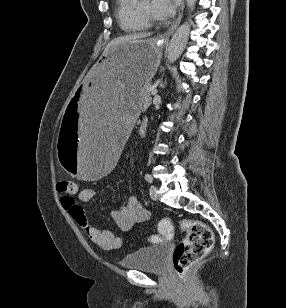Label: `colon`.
I'll use <instances>...</instances> for the list:
<instances>
[{"label": "colon", "mask_w": 286, "mask_h": 308, "mask_svg": "<svg viewBox=\"0 0 286 308\" xmlns=\"http://www.w3.org/2000/svg\"><path fill=\"white\" fill-rule=\"evenodd\" d=\"M76 190L77 184L71 180H60L57 183V191L65 197L73 199ZM180 227L186 232V237L176 246L172 262L178 278L185 281L188 269L212 248L214 236L207 225L197 220L184 219ZM158 230L159 235L148 237L150 243H159L173 237V225L167 219L160 221Z\"/></svg>", "instance_id": "obj_1"}]
</instances>
